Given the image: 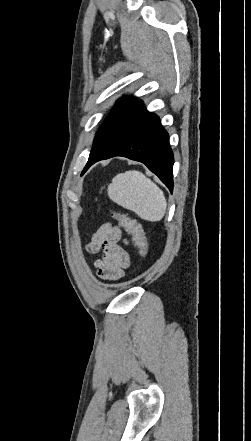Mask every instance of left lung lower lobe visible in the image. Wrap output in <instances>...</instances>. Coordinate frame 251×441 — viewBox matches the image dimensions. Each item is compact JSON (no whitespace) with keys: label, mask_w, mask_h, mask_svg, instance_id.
<instances>
[{"label":"left lung lower lobe","mask_w":251,"mask_h":441,"mask_svg":"<svg viewBox=\"0 0 251 441\" xmlns=\"http://www.w3.org/2000/svg\"><path fill=\"white\" fill-rule=\"evenodd\" d=\"M124 156L144 163L173 191V152L168 133L158 116L149 113L142 101L122 116H108L94 139L83 172L97 161Z\"/></svg>","instance_id":"1"}]
</instances>
